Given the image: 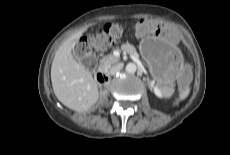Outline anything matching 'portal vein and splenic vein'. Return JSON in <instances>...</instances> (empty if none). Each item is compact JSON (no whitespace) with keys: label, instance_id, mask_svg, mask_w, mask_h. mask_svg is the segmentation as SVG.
<instances>
[{"label":"portal vein and splenic vein","instance_id":"obj_1","mask_svg":"<svg viewBox=\"0 0 230 155\" xmlns=\"http://www.w3.org/2000/svg\"><path fill=\"white\" fill-rule=\"evenodd\" d=\"M133 59H134L135 61L139 62V60H138L137 57L134 56ZM157 93H158V95H160V91H157Z\"/></svg>","mask_w":230,"mask_h":155}]
</instances>
